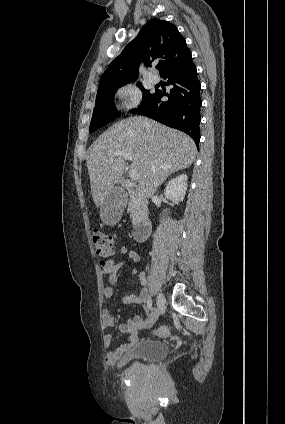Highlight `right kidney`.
<instances>
[{"instance_id": "obj_1", "label": "right kidney", "mask_w": 285, "mask_h": 424, "mask_svg": "<svg viewBox=\"0 0 285 424\" xmlns=\"http://www.w3.org/2000/svg\"><path fill=\"white\" fill-rule=\"evenodd\" d=\"M187 179L186 174L171 179L164 190L165 197L175 204L182 202L187 191Z\"/></svg>"}]
</instances>
